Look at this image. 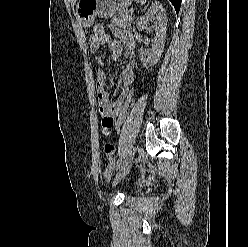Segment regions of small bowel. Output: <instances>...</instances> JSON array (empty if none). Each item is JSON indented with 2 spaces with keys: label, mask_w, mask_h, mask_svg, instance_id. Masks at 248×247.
Segmentation results:
<instances>
[{
  "label": "small bowel",
  "mask_w": 248,
  "mask_h": 247,
  "mask_svg": "<svg viewBox=\"0 0 248 247\" xmlns=\"http://www.w3.org/2000/svg\"><path fill=\"white\" fill-rule=\"evenodd\" d=\"M117 37L104 35L98 38L94 35L90 38V52L98 64L96 69V91L99 102V111L101 116V132L106 139L104 146L105 157L108 169L115 162L116 147L110 139L111 128L114 126L115 119L122 107L124 100L129 92L130 86L134 82V39L128 32L113 28ZM101 47L111 53L114 60L118 59L125 51L128 56V63L121 72L122 90L115 101H112L109 93L106 90L107 76L104 70L103 52Z\"/></svg>",
  "instance_id": "obj_1"
}]
</instances>
